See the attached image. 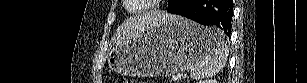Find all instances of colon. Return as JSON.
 <instances>
[{
	"label": "colon",
	"mask_w": 307,
	"mask_h": 83,
	"mask_svg": "<svg viewBox=\"0 0 307 83\" xmlns=\"http://www.w3.org/2000/svg\"><path fill=\"white\" fill-rule=\"evenodd\" d=\"M116 83H135V80L128 79V78H119L115 81Z\"/></svg>",
	"instance_id": "obj_1"
}]
</instances>
